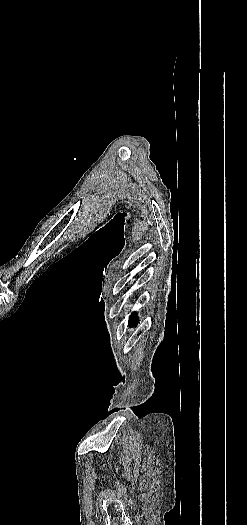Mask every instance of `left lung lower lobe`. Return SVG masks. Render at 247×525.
I'll list each match as a JSON object with an SVG mask.
<instances>
[{"instance_id":"1","label":"left lung lower lobe","mask_w":247,"mask_h":525,"mask_svg":"<svg viewBox=\"0 0 247 525\" xmlns=\"http://www.w3.org/2000/svg\"><path fill=\"white\" fill-rule=\"evenodd\" d=\"M137 316H136V313H133L131 316H130V320H129V326L132 327L133 325L137 324Z\"/></svg>"}]
</instances>
